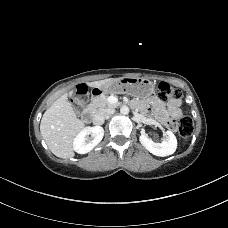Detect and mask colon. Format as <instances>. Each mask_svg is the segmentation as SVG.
Segmentation results:
<instances>
[{"label": "colon", "instance_id": "obj_1", "mask_svg": "<svg viewBox=\"0 0 228 228\" xmlns=\"http://www.w3.org/2000/svg\"><path fill=\"white\" fill-rule=\"evenodd\" d=\"M181 96L180 91L167 82L158 84V98L162 101L175 100ZM89 100L88 90L84 84L76 87L74 92L73 103L75 106L84 107ZM172 127H176L182 137H188L193 131V120L188 115L182 116L176 123H171Z\"/></svg>", "mask_w": 228, "mask_h": 228}]
</instances>
